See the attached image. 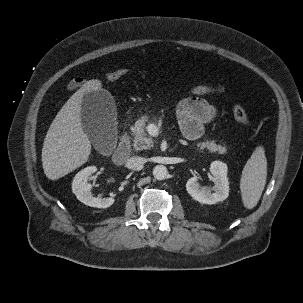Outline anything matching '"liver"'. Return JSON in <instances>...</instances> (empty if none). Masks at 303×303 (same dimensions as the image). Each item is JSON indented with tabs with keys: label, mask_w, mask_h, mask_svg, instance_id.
Here are the masks:
<instances>
[{
	"label": "liver",
	"mask_w": 303,
	"mask_h": 303,
	"mask_svg": "<svg viewBox=\"0 0 303 303\" xmlns=\"http://www.w3.org/2000/svg\"><path fill=\"white\" fill-rule=\"evenodd\" d=\"M98 79L87 81L63 105L46 134L42 165L46 177L57 180L82 166L89 159L91 143L81 123V103L86 92L98 91Z\"/></svg>",
	"instance_id": "obj_1"
}]
</instances>
